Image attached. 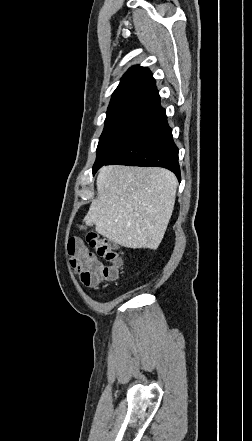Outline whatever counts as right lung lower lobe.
I'll return each instance as SVG.
<instances>
[{
  "mask_svg": "<svg viewBox=\"0 0 252 441\" xmlns=\"http://www.w3.org/2000/svg\"><path fill=\"white\" fill-rule=\"evenodd\" d=\"M164 167L180 180L178 148L167 123L159 94L152 97L134 128L108 160L93 167V174L103 165Z\"/></svg>",
  "mask_w": 252,
  "mask_h": 441,
  "instance_id": "1",
  "label": "right lung lower lobe"
}]
</instances>
